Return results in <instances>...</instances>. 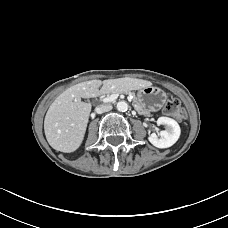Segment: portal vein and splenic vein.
Here are the masks:
<instances>
[{
	"mask_svg": "<svg viewBox=\"0 0 228 228\" xmlns=\"http://www.w3.org/2000/svg\"><path fill=\"white\" fill-rule=\"evenodd\" d=\"M118 94H112L106 98L103 99V102L108 103V102H113L115 99H117Z\"/></svg>",
	"mask_w": 228,
	"mask_h": 228,
	"instance_id": "portal-vein-and-splenic-vein-1",
	"label": "portal vein and splenic vein"
}]
</instances>
